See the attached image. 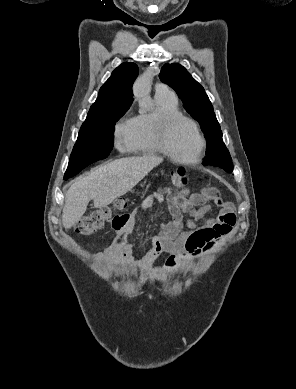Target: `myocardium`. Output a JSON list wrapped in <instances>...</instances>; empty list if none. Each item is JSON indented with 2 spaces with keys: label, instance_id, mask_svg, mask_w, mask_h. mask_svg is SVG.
<instances>
[{
  "label": "myocardium",
  "instance_id": "1",
  "mask_svg": "<svg viewBox=\"0 0 296 389\" xmlns=\"http://www.w3.org/2000/svg\"><path fill=\"white\" fill-rule=\"evenodd\" d=\"M179 121H186L190 123L197 133L199 139V149L196 157L193 159L179 158L172 152L170 148V134L174 125ZM156 135L161 152L177 163L185 165L197 164L201 161L204 155L206 149V139L199 124L193 118L186 116L182 113H171L161 117L157 125Z\"/></svg>",
  "mask_w": 296,
  "mask_h": 389
}]
</instances>
